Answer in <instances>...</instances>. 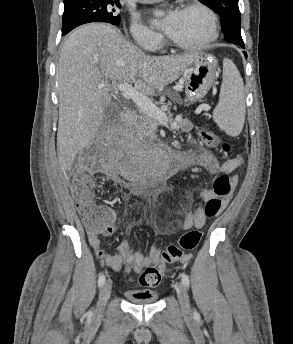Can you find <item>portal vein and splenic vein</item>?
<instances>
[{"mask_svg": "<svg viewBox=\"0 0 293 344\" xmlns=\"http://www.w3.org/2000/svg\"><path fill=\"white\" fill-rule=\"evenodd\" d=\"M104 86V85H101ZM121 93L130 98L144 113L156 119L161 124L168 123V117L148 97L134 89L131 84H117L115 86Z\"/></svg>", "mask_w": 293, "mask_h": 344, "instance_id": "18ae733b", "label": "portal vein and splenic vein"}]
</instances>
